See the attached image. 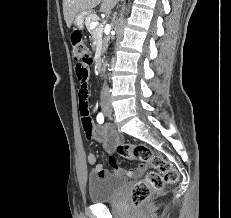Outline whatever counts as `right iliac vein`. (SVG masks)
<instances>
[{
    "instance_id": "right-iliac-vein-1",
    "label": "right iliac vein",
    "mask_w": 231,
    "mask_h": 218,
    "mask_svg": "<svg viewBox=\"0 0 231 218\" xmlns=\"http://www.w3.org/2000/svg\"><path fill=\"white\" fill-rule=\"evenodd\" d=\"M109 109H110L109 107H104L103 108V110H104L105 113H107L109 111Z\"/></svg>"
}]
</instances>
